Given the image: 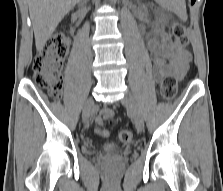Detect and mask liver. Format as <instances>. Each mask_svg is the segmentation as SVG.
<instances>
[{"label": "liver", "mask_w": 223, "mask_h": 191, "mask_svg": "<svg viewBox=\"0 0 223 191\" xmlns=\"http://www.w3.org/2000/svg\"><path fill=\"white\" fill-rule=\"evenodd\" d=\"M80 0H28L37 51L41 52L60 21Z\"/></svg>", "instance_id": "6515ba94"}]
</instances>
